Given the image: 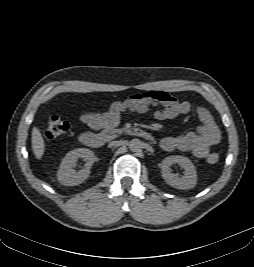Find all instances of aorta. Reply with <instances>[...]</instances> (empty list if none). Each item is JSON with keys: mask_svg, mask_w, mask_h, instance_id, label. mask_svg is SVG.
Instances as JSON below:
<instances>
[{"mask_svg": "<svg viewBox=\"0 0 254 267\" xmlns=\"http://www.w3.org/2000/svg\"><path fill=\"white\" fill-rule=\"evenodd\" d=\"M129 148L132 152H139L142 148V142L139 139H132L129 142Z\"/></svg>", "mask_w": 254, "mask_h": 267, "instance_id": "obj_1", "label": "aorta"}]
</instances>
